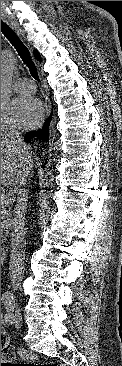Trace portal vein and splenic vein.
I'll use <instances>...</instances> for the list:
<instances>
[{
  "label": "portal vein and splenic vein",
  "mask_w": 122,
  "mask_h": 366,
  "mask_svg": "<svg viewBox=\"0 0 122 366\" xmlns=\"http://www.w3.org/2000/svg\"><path fill=\"white\" fill-rule=\"evenodd\" d=\"M5 198H6L5 194H2V195H1V201H2V200H5Z\"/></svg>",
  "instance_id": "1"
}]
</instances>
